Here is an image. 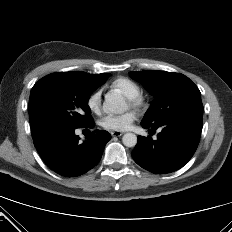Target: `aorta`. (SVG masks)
<instances>
[{
  "label": "aorta",
  "mask_w": 232,
  "mask_h": 232,
  "mask_svg": "<svg viewBox=\"0 0 232 232\" xmlns=\"http://www.w3.org/2000/svg\"><path fill=\"white\" fill-rule=\"evenodd\" d=\"M103 108L109 113L122 114L127 110V104L121 94L109 92L105 96ZM122 142L126 147H134L137 144V136L133 133H126L122 137Z\"/></svg>",
  "instance_id": "762f6f07"
}]
</instances>
